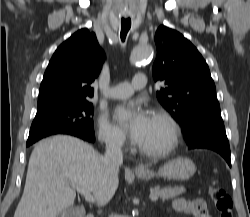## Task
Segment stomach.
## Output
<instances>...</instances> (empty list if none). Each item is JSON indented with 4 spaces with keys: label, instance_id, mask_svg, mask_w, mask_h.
<instances>
[{
    "label": "stomach",
    "instance_id": "obj_1",
    "mask_svg": "<svg viewBox=\"0 0 250 217\" xmlns=\"http://www.w3.org/2000/svg\"><path fill=\"white\" fill-rule=\"evenodd\" d=\"M196 171V166L188 158H177L164 164L157 172L148 170L145 173H137L143 180H150L155 176H162L173 180H188Z\"/></svg>",
    "mask_w": 250,
    "mask_h": 217
}]
</instances>
